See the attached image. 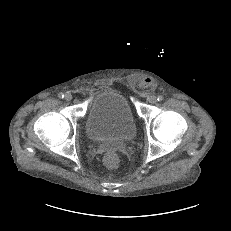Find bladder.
<instances>
[{
	"label": "bladder",
	"mask_w": 231,
	"mask_h": 231,
	"mask_svg": "<svg viewBox=\"0 0 231 231\" xmlns=\"http://www.w3.org/2000/svg\"><path fill=\"white\" fill-rule=\"evenodd\" d=\"M84 132L91 143L133 141L138 127L127 97L115 90L98 93L84 119Z\"/></svg>",
	"instance_id": "bladder-1"
}]
</instances>
